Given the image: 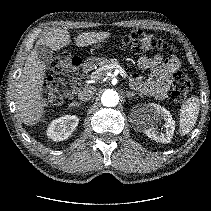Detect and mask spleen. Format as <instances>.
<instances>
[{
	"label": "spleen",
	"instance_id": "3e777b00",
	"mask_svg": "<svg viewBox=\"0 0 211 211\" xmlns=\"http://www.w3.org/2000/svg\"><path fill=\"white\" fill-rule=\"evenodd\" d=\"M199 98L192 96L182 105L180 109V132L188 134L194 127L199 114Z\"/></svg>",
	"mask_w": 211,
	"mask_h": 211
}]
</instances>
